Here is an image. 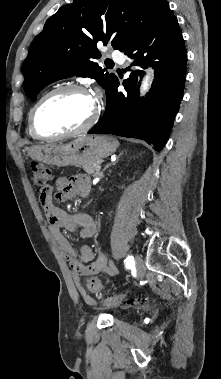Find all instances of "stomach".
Wrapping results in <instances>:
<instances>
[{
    "label": "stomach",
    "instance_id": "0dacf381",
    "mask_svg": "<svg viewBox=\"0 0 221 379\" xmlns=\"http://www.w3.org/2000/svg\"><path fill=\"white\" fill-rule=\"evenodd\" d=\"M118 141L106 135H84L69 143L34 146L28 155L36 161L55 166H80L101 161L118 148Z\"/></svg>",
    "mask_w": 221,
    "mask_h": 379
}]
</instances>
